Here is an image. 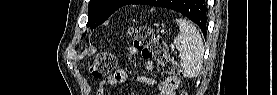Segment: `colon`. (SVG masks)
Returning a JSON list of instances; mask_svg holds the SVG:
<instances>
[{"mask_svg": "<svg viewBox=\"0 0 277 95\" xmlns=\"http://www.w3.org/2000/svg\"><path fill=\"white\" fill-rule=\"evenodd\" d=\"M127 35L133 48L141 51L146 58L158 61L162 73H180V66L174 55L169 52L166 42L151 29L145 26L129 28ZM117 63L118 58L115 54L100 52L91 63L90 73L94 78L107 76L115 69Z\"/></svg>", "mask_w": 277, "mask_h": 95, "instance_id": "5ec220e1", "label": "colon"}]
</instances>
